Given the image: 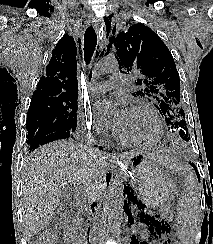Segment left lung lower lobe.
I'll use <instances>...</instances> for the list:
<instances>
[{"mask_svg":"<svg viewBox=\"0 0 213 244\" xmlns=\"http://www.w3.org/2000/svg\"><path fill=\"white\" fill-rule=\"evenodd\" d=\"M191 164V163H190ZM191 166L195 169V171H196V167L193 165V164H191ZM196 173H197V171H196ZM197 175H198V173H197ZM125 195V194H124ZM124 206H125V203H124Z\"/></svg>","mask_w":213,"mask_h":244,"instance_id":"1","label":"left lung lower lobe"}]
</instances>
